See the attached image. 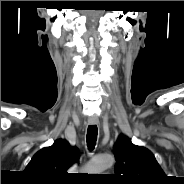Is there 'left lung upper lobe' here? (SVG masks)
Wrapping results in <instances>:
<instances>
[{
	"instance_id": "5c2ea615",
	"label": "left lung upper lobe",
	"mask_w": 184,
	"mask_h": 184,
	"mask_svg": "<svg viewBox=\"0 0 184 184\" xmlns=\"http://www.w3.org/2000/svg\"><path fill=\"white\" fill-rule=\"evenodd\" d=\"M116 158L113 180L119 184H165L167 176L154 155L120 135L113 147Z\"/></svg>"
}]
</instances>
